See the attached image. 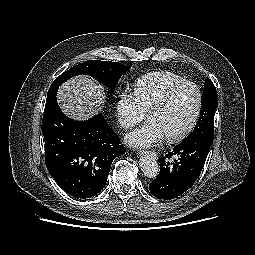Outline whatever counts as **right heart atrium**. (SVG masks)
<instances>
[{
    "label": "right heart atrium",
    "mask_w": 255,
    "mask_h": 255,
    "mask_svg": "<svg viewBox=\"0 0 255 255\" xmlns=\"http://www.w3.org/2000/svg\"><path fill=\"white\" fill-rule=\"evenodd\" d=\"M115 113L118 123L125 129L134 127L146 117V112L140 106L134 93L127 88L119 93Z\"/></svg>",
    "instance_id": "right-heart-atrium-1"
}]
</instances>
